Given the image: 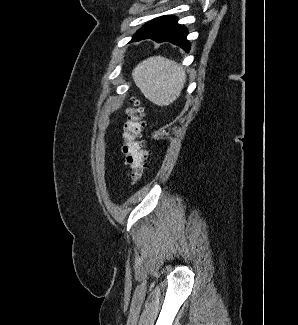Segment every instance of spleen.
Masks as SVG:
<instances>
[{
  "mask_svg": "<svg viewBox=\"0 0 298 325\" xmlns=\"http://www.w3.org/2000/svg\"><path fill=\"white\" fill-rule=\"evenodd\" d=\"M132 78L145 98L158 106H168L174 102L186 82L183 66L160 54L148 56L136 64L132 70Z\"/></svg>",
  "mask_w": 298,
  "mask_h": 325,
  "instance_id": "1",
  "label": "spleen"
}]
</instances>
